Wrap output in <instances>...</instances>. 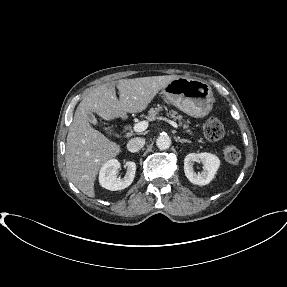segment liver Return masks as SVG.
<instances>
[{
  "label": "liver",
  "instance_id": "1",
  "mask_svg": "<svg viewBox=\"0 0 287 287\" xmlns=\"http://www.w3.org/2000/svg\"><path fill=\"white\" fill-rule=\"evenodd\" d=\"M176 78V75H166L123 79L116 85L102 84L83 98L69 127L65 150L68 178L81 192L95 197L94 183L99 169L121 151L118 144L89 124L87 113L94 112L110 121L127 113L142 112L157 93Z\"/></svg>",
  "mask_w": 287,
  "mask_h": 287
}]
</instances>
